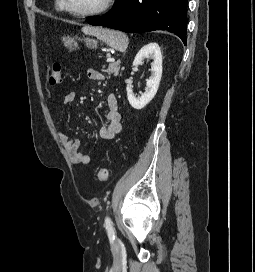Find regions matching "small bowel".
Here are the masks:
<instances>
[{
    "instance_id": "small-bowel-1",
    "label": "small bowel",
    "mask_w": 255,
    "mask_h": 272,
    "mask_svg": "<svg viewBox=\"0 0 255 272\" xmlns=\"http://www.w3.org/2000/svg\"><path fill=\"white\" fill-rule=\"evenodd\" d=\"M87 77L94 81H104L105 76L101 72L90 69L87 71ZM75 92H68L64 95L63 104L67 105L75 100ZM107 124L103 126L100 131V137L104 140H113L122 129L121 114L118 110L117 97L114 94H110L107 99V113H106ZM59 139L67 151L70 160L76 164L87 165L90 163V156L83 153L80 150L79 141L77 138L70 137L65 133H59Z\"/></svg>"
}]
</instances>
